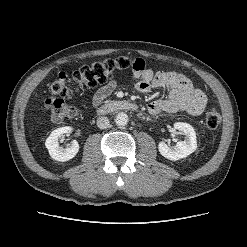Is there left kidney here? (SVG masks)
Instances as JSON below:
<instances>
[{
    "label": "left kidney",
    "mask_w": 247,
    "mask_h": 247,
    "mask_svg": "<svg viewBox=\"0 0 247 247\" xmlns=\"http://www.w3.org/2000/svg\"><path fill=\"white\" fill-rule=\"evenodd\" d=\"M173 126L185 135V140L178 141L174 147H169L165 142H160L158 149L163 157L176 161L193 153L197 149V141L194 128L190 124L175 122Z\"/></svg>",
    "instance_id": "obj_1"
}]
</instances>
